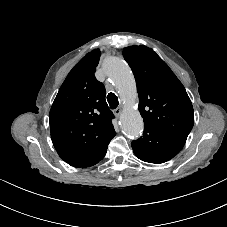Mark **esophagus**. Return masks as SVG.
Instances as JSON below:
<instances>
[{"label":"esophagus","instance_id":"esophagus-1","mask_svg":"<svg viewBox=\"0 0 227 227\" xmlns=\"http://www.w3.org/2000/svg\"><path fill=\"white\" fill-rule=\"evenodd\" d=\"M121 113H122V110L120 108H117V109L114 110V115L116 117H119L121 115Z\"/></svg>","mask_w":227,"mask_h":227}]
</instances>
